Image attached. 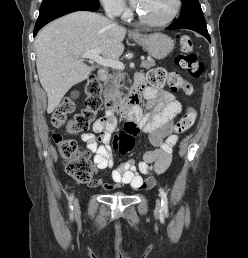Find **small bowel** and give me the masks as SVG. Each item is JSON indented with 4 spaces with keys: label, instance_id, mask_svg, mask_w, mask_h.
I'll list each match as a JSON object with an SVG mask.
<instances>
[{
    "label": "small bowel",
    "instance_id": "small-bowel-1",
    "mask_svg": "<svg viewBox=\"0 0 248 258\" xmlns=\"http://www.w3.org/2000/svg\"><path fill=\"white\" fill-rule=\"evenodd\" d=\"M142 81V93H144V112L141 107L128 119L124 130L132 138L139 133L147 135L152 146L151 150L143 154L138 164L129 159L119 164L112 170L114 184H107L100 180L92 183L93 187L111 191L124 185H129L135 190H154L157 180L154 177H143L153 167L155 173L162 174L170 165L172 150L177 143L178 136L173 133L175 118L182 110L181 103L175 96L163 89L152 85H145L143 75H137ZM117 121L112 113L107 112L104 117L94 121L91 133H83L82 140L86 148L93 154L96 169L110 168L113 162V154L109 145L112 132L116 129Z\"/></svg>",
    "mask_w": 248,
    "mask_h": 258
}]
</instances>
